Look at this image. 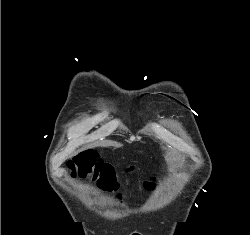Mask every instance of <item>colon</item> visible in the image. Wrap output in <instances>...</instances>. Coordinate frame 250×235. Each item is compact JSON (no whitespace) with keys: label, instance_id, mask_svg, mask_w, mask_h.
Wrapping results in <instances>:
<instances>
[{"label":"colon","instance_id":"obj_1","mask_svg":"<svg viewBox=\"0 0 250 235\" xmlns=\"http://www.w3.org/2000/svg\"><path fill=\"white\" fill-rule=\"evenodd\" d=\"M72 174L80 178H92L102 187L113 190L117 187L114 168L99 159L94 153H82L69 162Z\"/></svg>","mask_w":250,"mask_h":235}]
</instances>
